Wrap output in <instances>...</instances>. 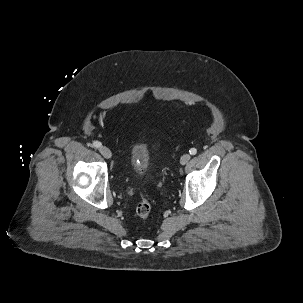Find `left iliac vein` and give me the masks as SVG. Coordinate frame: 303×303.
<instances>
[{
  "mask_svg": "<svg viewBox=\"0 0 303 303\" xmlns=\"http://www.w3.org/2000/svg\"><path fill=\"white\" fill-rule=\"evenodd\" d=\"M190 158H191V156H190L188 153H187V154H184V155H182L181 158H180V163H181L182 165H185V164L188 163V161L190 160Z\"/></svg>",
  "mask_w": 303,
  "mask_h": 303,
  "instance_id": "obj_1",
  "label": "left iliac vein"
}]
</instances>
